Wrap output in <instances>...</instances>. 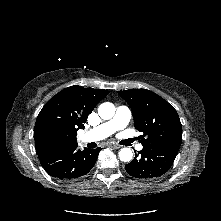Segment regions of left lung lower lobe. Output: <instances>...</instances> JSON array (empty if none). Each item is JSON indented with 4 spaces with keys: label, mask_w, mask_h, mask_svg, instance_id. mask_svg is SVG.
Instances as JSON below:
<instances>
[{
    "label": "left lung lower lobe",
    "mask_w": 221,
    "mask_h": 221,
    "mask_svg": "<svg viewBox=\"0 0 221 221\" xmlns=\"http://www.w3.org/2000/svg\"><path fill=\"white\" fill-rule=\"evenodd\" d=\"M177 153L178 151L165 147L143 145L140 157L135 155L133 161L125 165V169L135 178L153 179L169 170Z\"/></svg>",
    "instance_id": "left-lung-lower-lobe-1"
}]
</instances>
